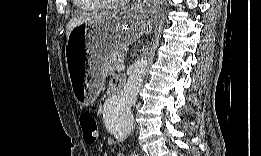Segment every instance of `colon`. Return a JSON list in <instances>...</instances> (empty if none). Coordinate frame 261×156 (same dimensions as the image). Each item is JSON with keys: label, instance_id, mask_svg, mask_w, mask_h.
Listing matches in <instances>:
<instances>
[{"label": "colon", "instance_id": "1", "mask_svg": "<svg viewBox=\"0 0 261 156\" xmlns=\"http://www.w3.org/2000/svg\"><path fill=\"white\" fill-rule=\"evenodd\" d=\"M79 124L83 133L84 141L88 145L94 144L98 136V125L95 117L90 112H81L79 115Z\"/></svg>", "mask_w": 261, "mask_h": 156}]
</instances>
